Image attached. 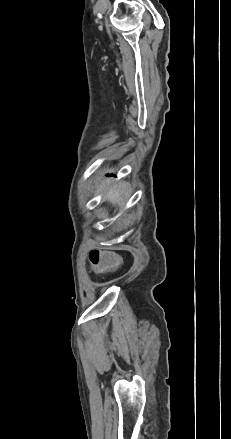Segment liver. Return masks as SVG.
<instances>
[{
	"label": "liver",
	"instance_id": "obj_1",
	"mask_svg": "<svg viewBox=\"0 0 231 439\" xmlns=\"http://www.w3.org/2000/svg\"><path fill=\"white\" fill-rule=\"evenodd\" d=\"M105 198L108 199V200L111 201V202H116V201H118V200H119V189H117V188H115V187L112 188V189H110V190L107 192Z\"/></svg>",
	"mask_w": 231,
	"mask_h": 439
}]
</instances>
